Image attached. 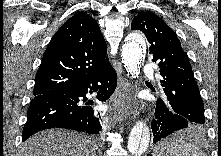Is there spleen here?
<instances>
[{"mask_svg":"<svg viewBox=\"0 0 221 156\" xmlns=\"http://www.w3.org/2000/svg\"><path fill=\"white\" fill-rule=\"evenodd\" d=\"M163 148L167 151L168 156H202L195 146L181 139L168 141Z\"/></svg>","mask_w":221,"mask_h":156,"instance_id":"obj_1","label":"spleen"}]
</instances>
